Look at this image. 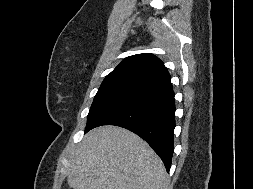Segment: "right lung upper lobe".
Returning a JSON list of instances; mask_svg holds the SVG:
<instances>
[{
    "label": "right lung upper lobe",
    "mask_w": 253,
    "mask_h": 189,
    "mask_svg": "<svg viewBox=\"0 0 253 189\" xmlns=\"http://www.w3.org/2000/svg\"><path fill=\"white\" fill-rule=\"evenodd\" d=\"M170 79L163 62L144 53L125 58L106 76L100 88L129 87L150 92L170 85Z\"/></svg>",
    "instance_id": "obj_1"
}]
</instances>
